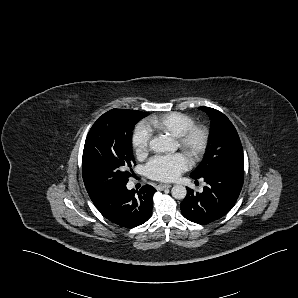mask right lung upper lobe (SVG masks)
Segmentation results:
<instances>
[{
  "instance_id": "1",
  "label": "right lung upper lobe",
  "mask_w": 298,
  "mask_h": 298,
  "mask_svg": "<svg viewBox=\"0 0 298 298\" xmlns=\"http://www.w3.org/2000/svg\"><path fill=\"white\" fill-rule=\"evenodd\" d=\"M111 112H115V113H127V114H131V115H135L138 118H143L145 116L148 115V113H144L141 111H137V110H120V109H112L110 110Z\"/></svg>"
}]
</instances>
